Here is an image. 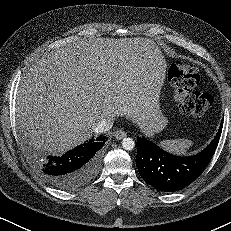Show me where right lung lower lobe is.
<instances>
[{"mask_svg":"<svg viewBox=\"0 0 231 231\" xmlns=\"http://www.w3.org/2000/svg\"><path fill=\"white\" fill-rule=\"evenodd\" d=\"M106 140L107 137L101 135L63 155L36 159L35 168L45 181L58 189H78L98 173Z\"/></svg>","mask_w":231,"mask_h":231,"instance_id":"98d812e1","label":"right lung lower lobe"}]
</instances>
